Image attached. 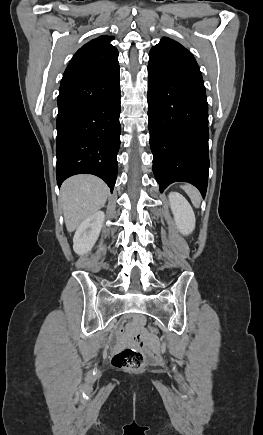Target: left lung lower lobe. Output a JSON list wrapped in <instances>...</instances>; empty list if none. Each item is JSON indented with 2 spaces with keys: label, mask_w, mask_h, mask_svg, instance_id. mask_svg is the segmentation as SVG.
<instances>
[{
  "label": "left lung lower lobe",
  "mask_w": 263,
  "mask_h": 435,
  "mask_svg": "<svg viewBox=\"0 0 263 435\" xmlns=\"http://www.w3.org/2000/svg\"><path fill=\"white\" fill-rule=\"evenodd\" d=\"M148 118L153 172L163 191L189 182L205 197L208 170V103L203 81L148 63Z\"/></svg>",
  "instance_id": "0a47b994"
}]
</instances>
